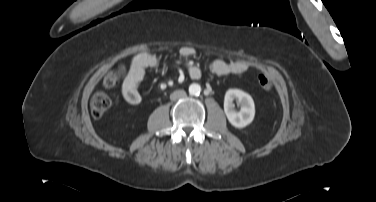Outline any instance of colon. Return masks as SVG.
<instances>
[{
  "label": "colon",
  "mask_w": 376,
  "mask_h": 202,
  "mask_svg": "<svg viewBox=\"0 0 376 202\" xmlns=\"http://www.w3.org/2000/svg\"><path fill=\"white\" fill-rule=\"evenodd\" d=\"M118 75L115 72H109L103 79V85L106 88H113L118 84ZM257 84L263 90L271 88V80L265 74H260L257 77ZM111 106L110 97L104 92H96L90 100V109L94 117L99 118L103 116Z\"/></svg>",
  "instance_id": "colon-1"
}]
</instances>
